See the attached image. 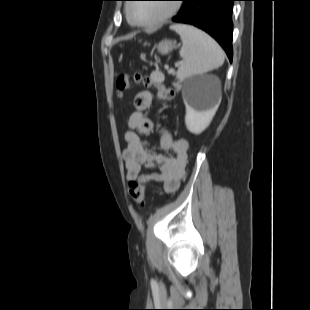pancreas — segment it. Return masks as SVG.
I'll return each mask as SVG.
<instances>
[{
    "mask_svg": "<svg viewBox=\"0 0 310 310\" xmlns=\"http://www.w3.org/2000/svg\"><path fill=\"white\" fill-rule=\"evenodd\" d=\"M174 87L179 88V83H174Z\"/></svg>",
    "mask_w": 310,
    "mask_h": 310,
    "instance_id": "obj_1",
    "label": "pancreas"
}]
</instances>
